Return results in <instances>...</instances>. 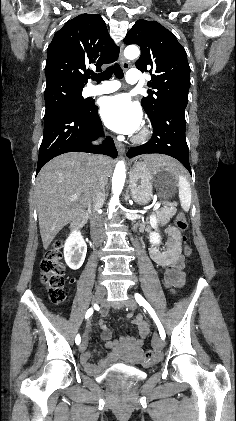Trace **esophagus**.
I'll return each instance as SVG.
<instances>
[{
  "mask_svg": "<svg viewBox=\"0 0 236 421\" xmlns=\"http://www.w3.org/2000/svg\"><path fill=\"white\" fill-rule=\"evenodd\" d=\"M123 48H124V44H121L120 46V52H119V60L122 64V67L124 70H128L129 68V63L126 60V58L123 55ZM115 146L119 152L120 155H123V153L125 152V147L122 143L118 142L117 140L115 141Z\"/></svg>",
  "mask_w": 236,
  "mask_h": 421,
  "instance_id": "1",
  "label": "esophagus"
}]
</instances>
